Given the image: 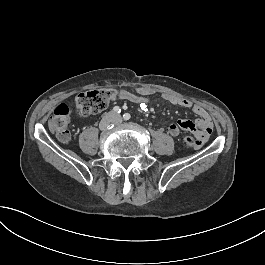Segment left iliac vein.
<instances>
[{"mask_svg":"<svg viewBox=\"0 0 265 265\" xmlns=\"http://www.w3.org/2000/svg\"><path fill=\"white\" fill-rule=\"evenodd\" d=\"M122 121V117L120 115L114 116V123H120Z\"/></svg>","mask_w":265,"mask_h":265,"instance_id":"1","label":"left iliac vein"}]
</instances>
